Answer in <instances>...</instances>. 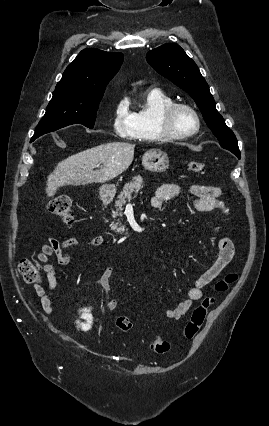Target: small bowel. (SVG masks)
<instances>
[{
	"instance_id": "obj_1",
	"label": "small bowel",
	"mask_w": 269,
	"mask_h": 426,
	"mask_svg": "<svg viewBox=\"0 0 269 426\" xmlns=\"http://www.w3.org/2000/svg\"><path fill=\"white\" fill-rule=\"evenodd\" d=\"M193 195V208L198 212H210L220 210L224 214L228 213L227 208L221 201L222 190L219 187L192 185L189 189ZM181 193V188L175 184H164L158 187L151 204L155 209L163 208L167 200L177 198ZM209 222L207 225H211ZM105 241L102 235H96L89 240L91 247L101 246ZM80 242L77 238H68L59 241L54 237H49L47 242L41 247L37 255L38 260L42 263V269L46 276L48 290L41 284H34L33 289L39 297L41 306L46 313L53 312L51 302V292L57 287V271L52 264V260H56L58 265L65 266L70 262L69 250L78 247ZM235 249L233 242L227 237H220L218 240V256L214 263L200 275L194 286L188 291L186 299L181 301L175 308L165 311V317L168 319L178 320L182 318L190 310L195 301L200 300L205 289L222 273L229 265L234 257ZM115 274V267L109 266L105 268L97 280V285L101 289L109 309L118 307V300L110 298L109 292L111 288L110 280Z\"/></svg>"
}]
</instances>
